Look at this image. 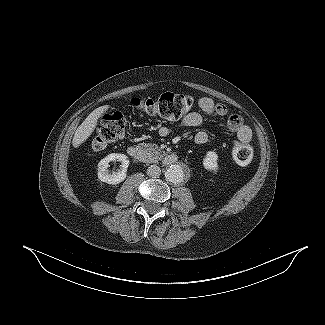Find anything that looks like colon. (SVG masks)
Wrapping results in <instances>:
<instances>
[{
	"mask_svg": "<svg viewBox=\"0 0 325 325\" xmlns=\"http://www.w3.org/2000/svg\"><path fill=\"white\" fill-rule=\"evenodd\" d=\"M133 104L139 111L152 117L176 121L193 107L194 100L189 95L167 92L152 97L137 98ZM126 124V118L120 111L105 114L92 138V149L101 150L107 145L123 139ZM232 157L237 164L246 165L253 158V149L248 144L237 142L234 145Z\"/></svg>",
	"mask_w": 325,
	"mask_h": 325,
	"instance_id": "colon-1",
	"label": "colon"
}]
</instances>
